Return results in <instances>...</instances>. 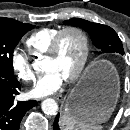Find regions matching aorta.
Wrapping results in <instances>:
<instances>
[{
    "instance_id": "obj_1",
    "label": "aorta",
    "mask_w": 130,
    "mask_h": 130,
    "mask_svg": "<svg viewBox=\"0 0 130 130\" xmlns=\"http://www.w3.org/2000/svg\"><path fill=\"white\" fill-rule=\"evenodd\" d=\"M34 69H39L37 63L33 64ZM42 111L47 115H55L58 111V104L54 99L47 98L41 103Z\"/></svg>"
}]
</instances>
